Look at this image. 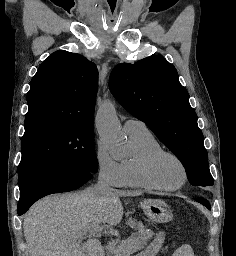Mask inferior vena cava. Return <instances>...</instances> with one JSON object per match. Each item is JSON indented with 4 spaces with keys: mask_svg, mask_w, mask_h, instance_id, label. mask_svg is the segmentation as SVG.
I'll return each instance as SVG.
<instances>
[{
    "mask_svg": "<svg viewBox=\"0 0 236 256\" xmlns=\"http://www.w3.org/2000/svg\"><path fill=\"white\" fill-rule=\"evenodd\" d=\"M112 190L113 188H110L107 180H104L100 174L98 182L93 188L94 194H96V196H104V194H112Z\"/></svg>",
    "mask_w": 236,
    "mask_h": 256,
    "instance_id": "inferior-vena-cava-1",
    "label": "inferior vena cava"
}]
</instances>
